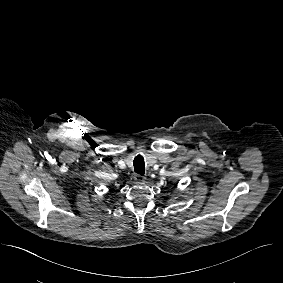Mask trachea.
<instances>
[{
    "instance_id": "1",
    "label": "trachea",
    "mask_w": 283,
    "mask_h": 283,
    "mask_svg": "<svg viewBox=\"0 0 283 283\" xmlns=\"http://www.w3.org/2000/svg\"><path fill=\"white\" fill-rule=\"evenodd\" d=\"M133 164H134V171L140 175H144L145 163H144V158L141 155L135 157Z\"/></svg>"
}]
</instances>
